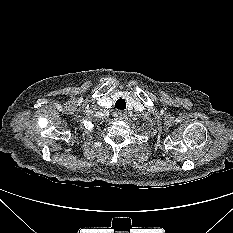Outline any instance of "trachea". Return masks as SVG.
I'll use <instances>...</instances> for the list:
<instances>
[{
    "label": "trachea",
    "mask_w": 233,
    "mask_h": 233,
    "mask_svg": "<svg viewBox=\"0 0 233 233\" xmlns=\"http://www.w3.org/2000/svg\"><path fill=\"white\" fill-rule=\"evenodd\" d=\"M115 108L119 110H124L126 108V102L124 99H118L115 103Z\"/></svg>",
    "instance_id": "1"
}]
</instances>
